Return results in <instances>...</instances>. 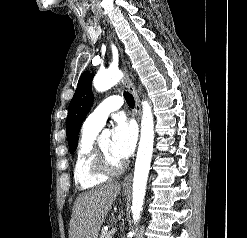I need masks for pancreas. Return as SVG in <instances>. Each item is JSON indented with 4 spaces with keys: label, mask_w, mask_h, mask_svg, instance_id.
Instances as JSON below:
<instances>
[{
    "label": "pancreas",
    "mask_w": 247,
    "mask_h": 238,
    "mask_svg": "<svg viewBox=\"0 0 247 238\" xmlns=\"http://www.w3.org/2000/svg\"><path fill=\"white\" fill-rule=\"evenodd\" d=\"M100 238H112V233L111 231H102Z\"/></svg>",
    "instance_id": "1"
}]
</instances>
